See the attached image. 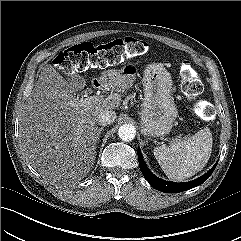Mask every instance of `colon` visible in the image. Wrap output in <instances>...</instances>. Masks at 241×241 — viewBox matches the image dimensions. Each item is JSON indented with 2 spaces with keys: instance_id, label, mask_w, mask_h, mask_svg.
Instances as JSON below:
<instances>
[{
  "instance_id": "obj_1",
  "label": "colon",
  "mask_w": 241,
  "mask_h": 241,
  "mask_svg": "<svg viewBox=\"0 0 241 241\" xmlns=\"http://www.w3.org/2000/svg\"><path fill=\"white\" fill-rule=\"evenodd\" d=\"M148 45L135 38L116 39L106 44L82 43L60 52L54 60L57 68L65 73L84 71L93 67L109 66L125 57L146 53ZM182 91L189 99L201 94L203 85L189 62L181 65ZM194 111L203 118H210L211 107L203 101H196Z\"/></svg>"
}]
</instances>
